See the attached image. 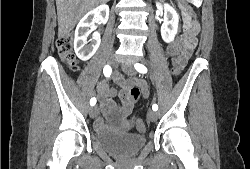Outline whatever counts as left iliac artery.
<instances>
[{"label":"left iliac artery","mask_w":250,"mask_h":169,"mask_svg":"<svg viewBox=\"0 0 250 169\" xmlns=\"http://www.w3.org/2000/svg\"><path fill=\"white\" fill-rule=\"evenodd\" d=\"M134 67H135V69H136L138 72H140V73H143V74H144V73H147V68H146L143 64L136 63V64L134 65ZM152 109H153L154 111H157V110H158L157 104H153Z\"/></svg>","instance_id":"1"}]
</instances>
